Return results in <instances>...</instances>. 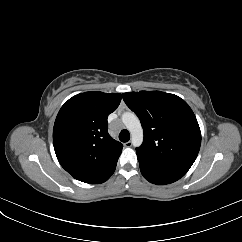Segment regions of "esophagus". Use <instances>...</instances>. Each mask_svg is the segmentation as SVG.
Wrapping results in <instances>:
<instances>
[{
    "label": "esophagus",
    "mask_w": 242,
    "mask_h": 242,
    "mask_svg": "<svg viewBox=\"0 0 242 242\" xmlns=\"http://www.w3.org/2000/svg\"><path fill=\"white\" fill-rule=\"evenodd\" d=\"M124 146L125 147H131L132 146V142L131 141L125 142Z\"/></svg>",
    "instance_id": "obj_1"
}]
</instances>
